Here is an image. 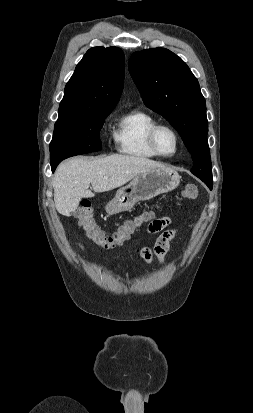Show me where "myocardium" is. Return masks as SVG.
<instances>
[{"instance_id": "1", "label": "myocardium", "mask_w": 253, "mask_h": 413, "mask_svg": "<svg viewBox=\"0 0 253 413\" xmlns=\"http://www.w3.org/2000/svg\"><path fill=\"white\" fill-rule=\"evenodd\" d=\"M162 128L168 129L175 137L176 149L172 154H164L158 148L157 133ZM148 144H149L150 148L152 149V151L157 156H160V157H163V158H171V157L175 156L178 153V151L180 149V146H181V138H180V135H179L178 131L172 125L167 124V123H156L150 128V130L148 132Z\"/></svg>"}]
</instances>
